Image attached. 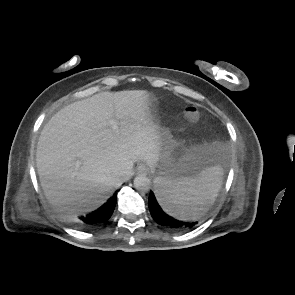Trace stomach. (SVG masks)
Here are the masks:
<instances>
[{"mask_svg": "<svg viewBox=\"0 0 295 295\" xmlns=\"http://www.w3.org/2000/svg\"><path fill=\"white\" fill-rule=\"evenodd\" d=\"M160 135L162 144L159 158L156 166L152 168L159 177L170 180L197 178L202 171L213 165L206 157L205 147H186L165 127H160Z\"/></svg>", "mask_w": 295, "mask_h": 295, "instance_id": "obj_1", "label": "stomach"}]
</instances>
